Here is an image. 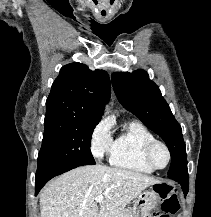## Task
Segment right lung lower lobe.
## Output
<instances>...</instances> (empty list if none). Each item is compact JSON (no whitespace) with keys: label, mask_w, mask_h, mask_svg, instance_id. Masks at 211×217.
Returning a JSON list of instances; mask_svg holds the SVG:
<instances>
[{"label":"right lung lower lobe","mask_w":211,"mask_h":217,"mask_svg":"<svg viewBox=\"0 0 211 217\" xmlns=\"http://www.w3.org/2000/svg\"><path fill=\"white\" fill-rule=\"evenodd\" d=\"M76 167H78V165H57L37 170L35 176L36 195L50 179Z\"/></svg>","instance_id":"right-lung-lower-lobe-1"}]
</instances>
